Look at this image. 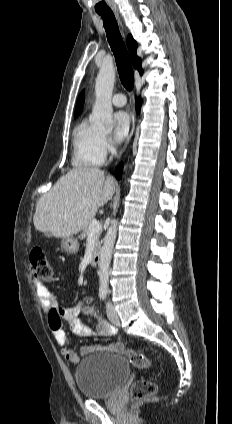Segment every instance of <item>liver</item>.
<instances>
[{"label": "liver", "mask_w": 232, "mask_h": 424, "mask_svg": "<svg viewBox=\"0 0 232 424\" xmlns=\"http://www.w3.org/2000/svg\"><path fill=\"white\" fill-rule=\"evenodd\" d=\"M114 192V179L105 177L104 171L94 167L73 168L39 198L34 226L57 238L70 237L88 225Z\"/></svg>", "instance_id": "1"}]
</instances>
